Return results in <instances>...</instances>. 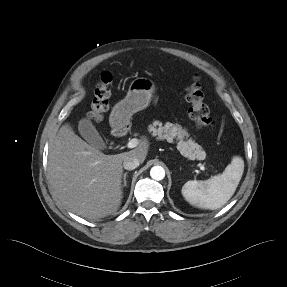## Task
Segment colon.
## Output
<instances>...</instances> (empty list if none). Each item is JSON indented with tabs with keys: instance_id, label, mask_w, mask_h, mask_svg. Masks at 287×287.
Returning <instances> with one entry per match:
<instances>
[{
	"instance_id": "5ec220e1",
	"label": "colon",
	"mask_w": 287,
	"mask_h": 287,
	"mask_svg": "<svg viewBox=\"0 0 287 287\" xmlns=\"http://www.w3.org/2000/svg\"><path fill=\"white\" fill-rule=\"evenodd\" d=\"M112 77L110 73L104 72L100 75L94 90V99L88 118L93 121H101L104 113L110 105ZM186 100L189 103V116L200 128L211 129L215 121L211 117L210 108L204 99L198 76H193L186 87Z\"/></svg>"
}]
</instances>
